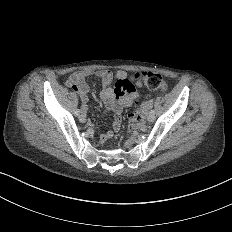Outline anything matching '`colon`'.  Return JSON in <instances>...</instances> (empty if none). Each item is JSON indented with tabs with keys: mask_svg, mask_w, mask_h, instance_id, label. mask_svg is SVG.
<instances>
[{
	"mask_svg": "<svg viewBox=\"0 0 232 232\" xmlns=\"http://www.w3.org/2000/svg\"><path fill=\"white\" fill-rule=\"evenodd\" d=\"M148 76L139 75L138 79H148V81H144V86H149V91H156L152 92V97H165V95L171 94V91L167 90L168 86H171V81H165L163 77L159 75V71H148ZM131 126L135 130H142L146 126V119L142 115H135L131 119Z\"/></svg>",
	"mask_w": 232,
	"mask_h": 232,
	"instance_id": "colon-1",
	"label": "colon"
}]
</instances>
